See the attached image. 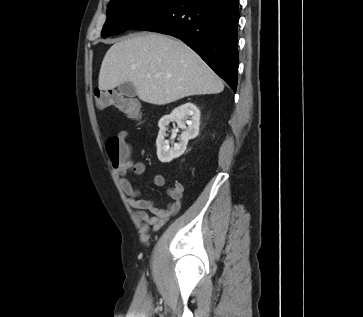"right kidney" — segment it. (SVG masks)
Segmentation results:
<instances>
[{
  "label": "right kidney",
  "mask_w": 363,
  "mask_h": 317,
  "mask_svg": "<svg viewBox=\"0 0 363 317\" xmlns=\"http://www.w3.org/2000/svg\"><path fill=\"white\" fill-rule=\"evenodd\" d=\"M174 121L179 127L184 128L185 131L180 136V142L170 147L169 141L165 140L166 130L169 123ZM199 125L200 110L190 102L175 108L169 115L163 116L158 123L160 130L156 140L158 159L163 163H168L180 157L186 150L188 141L194 139L199 134Z\"/></svg>",
  "instance_id": "ca27d5eb"
}]
</instances>
